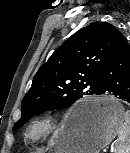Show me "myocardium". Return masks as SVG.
I'll return each instance as SVG.
<instances>
[{
	"label": "myocardium",
	"instance_id": "myocardium-1",
	"mask_svg": "<svg viewBox=\"0 0 130 153\" xmlns=\"http://www.w3.org/2000/svg\"><path fill=\"white\" fill-rule=\"evenodd\" d=\"M59 127L54 115L45 114L33 119L26 127L24 138L29 143H37L50 137Z\"/></svg>",
	"mask_w": 130,
	"mask_h": 153
}]
</instances>
